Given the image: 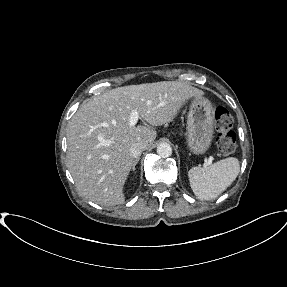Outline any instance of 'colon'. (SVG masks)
Segmentation results:
<instances>
[{
    "instance_id": "obj_1",
    "label": "colon",
    "mask_w": 287,
    "mask_h": 287,
    "mask_svg": "<svg viewBox=\"0 0 287 287\" xmlns=\"http://www.w3.org/2000/svg\"><path fill=\"white\" fill-rule=\"evenodd\" d=\"M215 123L217 128L216 145L224 155L234 153L236 149V134L233 130V117L224 107L215 110Z\"/></svg>"
}]
</instances>
